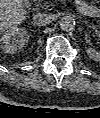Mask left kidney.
<instances>
[{"label":"left kidney","instance_id":"1","mask_svg":"<svg viewBox=\"0 0 100 118\" xmlns=\"http://www.w3.org/2000/svg\"><path fill=\"white\" fill-rule=\"evenodd\" d=\"M86 52L91 59L95 61H100V52L92 48H87Z\"/></svg>","mask_w":100,"mask_h":118}]
</instances>
